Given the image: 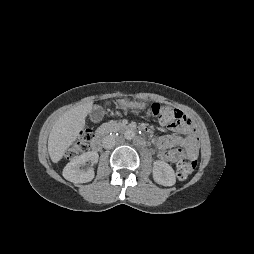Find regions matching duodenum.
Listing matches in <instances>:
<instances>
[{
    "instance_id": "obj_1",
    "label": "duodenum",
    "mask_w": 254,
    "mask_h": 254,
    "mask_svg": "<svg viewBox=\"0 0 254 254\" xmlns=\"http://www.w3.org/2000/svg\"><path fill=\"white\" fill-rule=\"evenodd\" d=\"M121 130L124 131H137V130H143L146 133H149V129L143 126H135V125H122L120 127ZM103 135V130H99L95 136L93 137V139L91 140V148L95 151L100 150L101 145H102V138Z\"/></svg>"
}]
</instances>
